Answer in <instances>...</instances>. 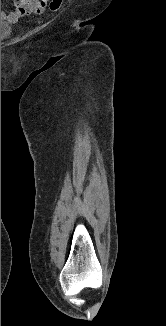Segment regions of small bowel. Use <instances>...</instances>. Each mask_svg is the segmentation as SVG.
Returning <instances> with one entry per match:
<instances>
[{
    "label": "small bowel",
    "mask_w": 166,
    "mask_h": 326,
    "mask_svg": "<svg viewBox=\"0 0 166 326\" xmlns=\"http://www.w3.org/2000/svg\"><path fill=\"white\" fill-rule=\"evenodd\" d=\"M13 10L11 12L1 11V20H8L11 22L30 14H40L45 11L47 7V0H11Z\"/></svg>",
    "instance_id": "1"
}]
</instances>
